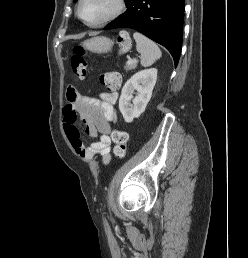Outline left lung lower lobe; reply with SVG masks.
Returning a JSON list of instances; mask_svg holds the SVG:
<instances>
[{"label": "left lung lower lobe", "instance_id": "0a47b994", "mask_svg": "<svg viewBox=\"0 0 248 258\" xmlns=\"http://www.w3.org/2000/svg\"><path fill=\"white\" fill-rule=\"evenodd\" d=\"M126 7L104 30L135 29L164 46L177 65L182 47L184 0H130Z\"/></svg>", "mask_w": 248, "mask_h": 258}]
</instances>
